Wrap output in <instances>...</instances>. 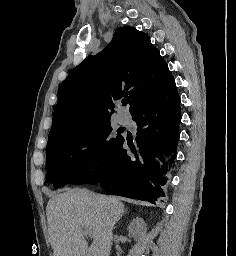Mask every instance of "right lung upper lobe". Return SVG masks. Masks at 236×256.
I'll return each instance as SVG.
<instances>
[{
	"mask_svg": "<svg viewBox=\"0 0 236 256\" xmlns=\"http://www.w3.org/2000/svg\"><path fill=\"white\" fill-rule=\"evenodd\" d=\"M173 81L149 37L132 27H120L102 53L87 57L64 81L49 139L81 125L110 120L121 97L129 98L131 113Z\"/></svg>",
	"mask_w": 236,
	"mask_h": 256,
	"instance_id": "cb5924a9",
	"label": "right lung upper lobe"
}]
</instances>
